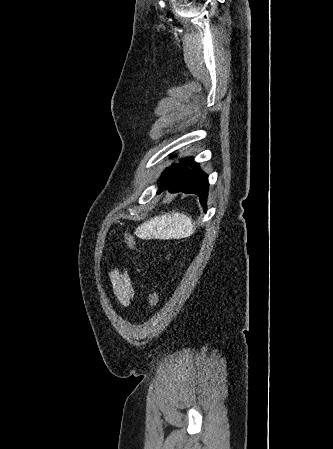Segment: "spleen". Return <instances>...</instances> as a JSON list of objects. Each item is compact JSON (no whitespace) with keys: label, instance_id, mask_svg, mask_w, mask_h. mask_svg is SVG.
<instances>
[{"label":"spleen","instance_id":"1","mask_svg":"<svg viewBox=\"0 0 333 449\" xmlns=\"http://www.w3.org/2000/svg\"><path fill=\"white\" fill-rule=\"evenodd\" d=\"M194 230L191 216L173 211L144 222L136 234L142 239H180L190 236Z\"/></svg>","mask_w":333,"mask_h":449}]
</instances>
